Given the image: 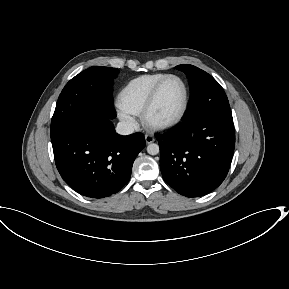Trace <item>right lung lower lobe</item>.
<instances>
[{"mask_svg":"<svg viewBox=\"0 0 289 289\" xmlns=\"http://www.w3.org/2000/svg\"><path fill=\"white\" fill-rule=\"evenodd\" d=\"M51 141L63 180L92 198L110 196L126 185L133 162L146 144L140 133L117 134L111 119L98 114L86 115Z\"/></svg>","mask_w":289,"mask_h":289,"instance_id":"right-lung-lower-lobe-1","label":"right lung lower lobe"}]
</instances>
